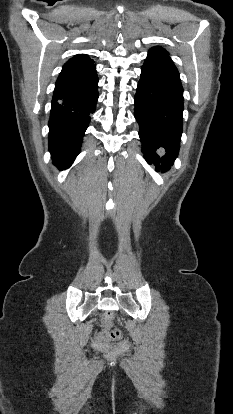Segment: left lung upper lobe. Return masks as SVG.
<instances>
[{
  "label": "left lung upper lobe",
  "instance_id": "left-lung-upper-lobe-1",
  "mask_svg": "<svg viewBox=\"0 0 233 414\" xmlns=\"http://www.w3.org/2000/svg\"><path fill=\"white\" fill-rule=\"evenodd\" d=\"M151 50H155V51H159V52L168 54V52L165 49L160 48V47H158V48L157 47H154V48H151Z\"/></svg>",
  "mask_w": 233,
  "mask_h": 414
}]
</instances>
